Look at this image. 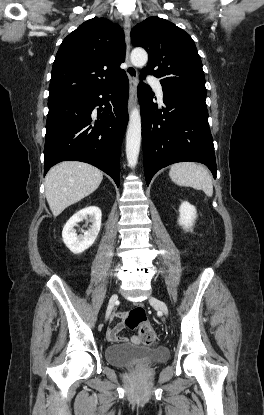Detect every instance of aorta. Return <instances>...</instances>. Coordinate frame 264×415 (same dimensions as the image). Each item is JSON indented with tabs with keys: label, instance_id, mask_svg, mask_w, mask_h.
<instances>
[{
	"label": "aorta",
	"instance_id": "762f6f07",
	"mask_svg": "<svg viewBox=\"0 0 264 415\" xmlns=\"http://www.w3.org/2000/svg\"><path fill=\"white\" fill-rule=\"evenodd\" d=\"M131 62L136 67L144 66L148 61V54L142 48H135L131 52ZM141 145V117L139 110L132 109L126 133V157L128 165L136 166Z\"/></svg>",
	"mask_w": 264,
	"mask_h": 415
}]
</instances>
